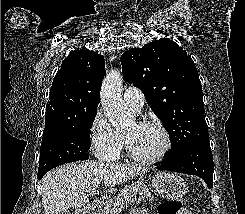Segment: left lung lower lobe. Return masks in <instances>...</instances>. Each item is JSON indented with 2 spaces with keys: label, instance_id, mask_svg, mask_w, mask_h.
I'll list each match as a JSON object with an SVG mask.
<instances>
[{
  "label": "left lung lower lobe",
  "instance_id": "1",
  "mask_svg": "<svg viewBox=\"0 0 245 214\" xmlns=\"http://www.w3.org/2000/svg\"><path fill=\"white\" fill-rule=\"evenodd\" d=\"M156 168L196 175L202 178L209 188L213 187L214 165L209 141H199L175 154L165 155Z\"/></svg>",
  "mask_w": 245,
  "mask_h": 214
}]
</instances>
